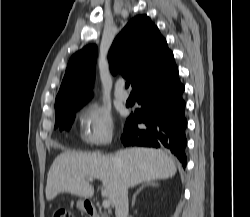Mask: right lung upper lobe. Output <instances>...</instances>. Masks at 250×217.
I'll use <instances>...</instances> for the list:
<instances>
[{
    "label": "right lung upper lobe",
    "mask_w": 250,
    "mask_h": 217,
    "mask_svg": "<svg viewBox=\"0 0 250 217\" xmlns=\"http://www.w3.org/2000/svg\"><path fill=\"white\" fill-rule=\"evenodd\" d=\"M96 52V45H88L70 58L55 100V117L81 108L92 97ZM171 54L150 18L139 15L115 38L108 60L112 74L120 73L129 79L134 90Z\"/></svg>",
    "instance_id": "obj_1"
}]
</instances>
